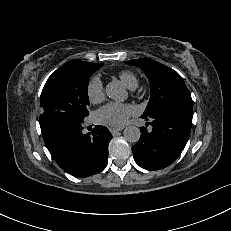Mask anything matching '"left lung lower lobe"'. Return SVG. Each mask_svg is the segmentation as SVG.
Returning a JSON list of instances; mask_svg holds the SVG:
<instances>
[{
	"label": "left lung lower lobe",
	"mask_w": 231,
	"mask_h": 231,
	"mask_svg": "<svg viewBox=\"0 0 231 231\" xmlns=\"http://www.w3.org/2000/svg\"><path fill=\"white\" fill-rule=\"evenodd\" d=\"M192 107L170 105L149 116L152 131L141 127V137L132 147L135 162L147 170L171 165L183 151L191 131ZM150 124V123H148Z\"/></svg>",
	"instance_id": "0a47b994"
}]
</instances>
